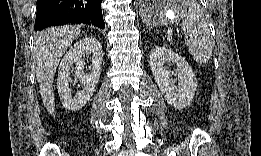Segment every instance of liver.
<instances>
[{
	"instance_id": "obj_1",
	"label": "liver",
	"mask_w": 261,
	"mask_h": 156,
	"mask_svg": "<svg viewBox=\"0 0 261 156\" xmlns=\"http://www.w3.org/2000/svg\"><path fill=\"white\" fill-rule=\"evenodd\" d=\"M80 33V26L53 27L40 33L35 41L33 58L43 104L54 116L53 80L61 57Z\"/></svg>"
}]
</instances>
